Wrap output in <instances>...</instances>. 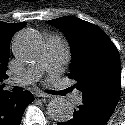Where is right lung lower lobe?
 Here are the masks:
<instances>
[{"mask_svg": "<svg viewBox=\"0 0 125 125\" xmlns=\"http://www.w3.org/2000/svg\"><path fill=\"white\" fill-rule=\"evenodd\" d=\"M30 91L14 95L9 91L0 95V125H20L25 108L33 102Z\"/></svg>", "mask_w": 125, "mask_h": 125, "instance_id": "right-lung-lower-lobe-1", "label": "right lung lower lobe"}]
</instances>
